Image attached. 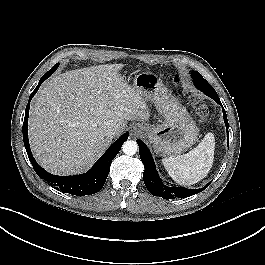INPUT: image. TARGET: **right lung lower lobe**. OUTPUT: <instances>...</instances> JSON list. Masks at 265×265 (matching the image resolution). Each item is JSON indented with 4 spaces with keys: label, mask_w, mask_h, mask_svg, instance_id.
<instances>
[{
    "label": "right lung lower lobe",
    "mask_w": 265,
    "mask_h": 265,
    "mask_svg": "<svg viewBox=\"0 0 265 265\" xmlns=\"http://www.w3.org/2000/svg\"><path fill=\"white\" fill-rule=\"evenodd\" d=\"M58 67L56 64L51 70H49L39 81L34 91L29 97V101L25 111V118L23 123V141L29 157V160L37 173V175L46 182H49L56 188L60 189L64 193L72 195H88L94 194L102 189L105 184L106 178L110 171V165L114 157L120 151L121 146L128 138V133L123 134L118 140H116L108 150L100 157V159L94 164V166L86 173L73 176H57L52 175L41 168L34 159L30 150L28 140V117L30 101L32 97L38 91L41 83L45 81Z\"/></svg>",
    "instance_id": "98d812e1"
}]
</instances>
